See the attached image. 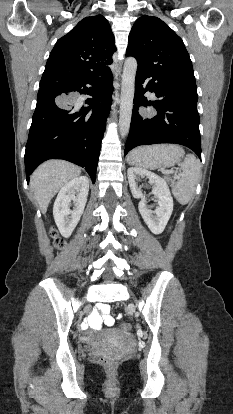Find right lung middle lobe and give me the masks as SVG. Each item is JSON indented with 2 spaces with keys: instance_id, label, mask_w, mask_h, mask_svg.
Listing matches in <instances>:
<instances>
[{
  "instance_id": "dd1d6c3e",
  "label": "right lung middle lobe",
  "mask_w": 233,
  "mask_h": 414,
  "mask_svg": "<svg viewBox=\"0 0 233 414\" xmlns=\"http://www.w3.org/2000/svg\"><path fill=\"white\" fill-rule=\"evenodd\" d=\"M48 82H50V81L40 82V85L48 83Z\"/></svg>"
}]
</instances>
